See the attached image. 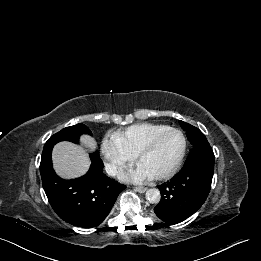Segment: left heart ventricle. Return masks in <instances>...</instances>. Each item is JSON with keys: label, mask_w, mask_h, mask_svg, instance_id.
Instances as JSON below:
<instances>
[{"label": "left heart ventricle", "mask_w": 261, "mask_h": 261, "mask_svg": "<svg viewBox=\"0 0 261 261\" xmlns=\"http://www.w3.org/2000/svg\"><path fill=\"white\" fill-rule=\"evenodd\" d=\"M181 145V137L177 133L168 132L158 140L153 150L140 161V164L154 176L162 174L175 163Z\"/></svg>", "instance_id": "left-heart-ventricle-1"}]
</instances>
